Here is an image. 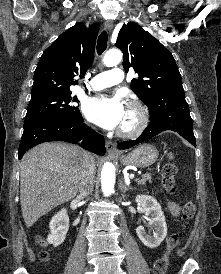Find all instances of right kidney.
Instances as JSON below:
<instances>
[{
    "label": "right kidney",
    "instance_id": "right-kidney-1",
    "mask_svg": "<svg viewBox=\"0 0 221 274\" xmlns=\"http://www.w3.org/2000/svg\"><path fill=\"white\" fill-rule=\"evenodd\" d=\"M49 228L50 234L47 237V242L54 247L61 245L69 229V217L66 209H62L52 217Z\"/></svg>",
    "mask_w": 221,
    "mask_h": 274
}]
</instances>
